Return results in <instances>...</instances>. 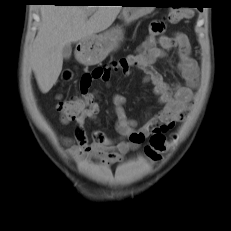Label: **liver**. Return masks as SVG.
Here are the masks:
<instances>
[{
    "label": "liver",
    "mask_w": 231,
    "mask_h": 231,
    "mask_svg": "<svg viewBox=\"0 0 231 231\" xmlns=\"http://www.w3.org/2000/svg\"><path fill=\"white\" fill-rule=\"evenodd\" d=\"M121 8L85 5H43L40 8L42 23L33 44L31 62L42 93L49 92L57 82L62 71L63 47L106 30Z\"/></svg>",
    "instance_id": "6515ba94"
}]
</instances>
